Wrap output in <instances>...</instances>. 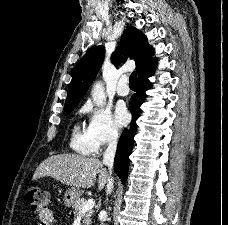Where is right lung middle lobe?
Returning <instances> with one entry per match:
<instances>
[{
  "label": "right lung middle lobe",
  "instance_id": "obj_1",
  "mask_svg": "<svg viewBox=\"0 0 228 225\" xmlns=\"http://www.w3.org/2000/svg\"><path fill=\"white\" fill-rule=\"evenodd\" d=\"M77 105H78V104H74V105H70V106L65 107L64 115H67V114H69L71 111H73V109H74Z\"/></svg>",
  "mask_w": 228,
  "mask_h": 225
}]
</instances>
